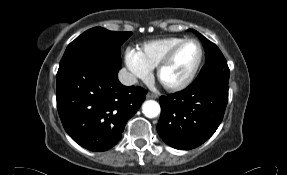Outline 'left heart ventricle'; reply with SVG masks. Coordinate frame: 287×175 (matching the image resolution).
Instances as JSON below:
<instances>
[{
    "label": "left heart ventricle",
    "instance_id": "obj_1",
    "mask_svg": "<svg viewBox=\"0 0 287 175\" xmlns=\"http://www.w3.org/2000/svg\"><path fill=\"white\" fill-rule=\"evenodd\" d=\"M199 57L198 45L194 42L184 45L173 61L162 72V80L174 84L184 80L194 68Z\"/></svg>",
    "mask_w": 287,
    "mask_h": 175
}]
</instances>
